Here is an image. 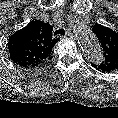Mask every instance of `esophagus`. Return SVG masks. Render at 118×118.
<instances>
[{"label":"esophagus","instance_id":"34e87169","mask_svg":"<svg viewBox=\"0 0 118 118\" xmlns=\"http://www.w3.org/2000/svg\"><path fill=\"white\" fill-rule=\"evenodd\" d=\"M71 36H72V33L69 32V33L66 34V36H64V37L60 36V38H66V37H71Z\"/></svg>","mask_w":118,"mask_h":118}]
</instances>
